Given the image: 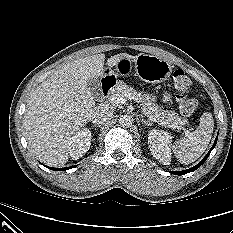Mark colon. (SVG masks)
<instances>
[{"instance_id": "colon-1", "label": "colon", "mask_w": 233, "mask_h": 233, "mask_svg": "<svg viewBox=\"0 0 233 233\" xmlns=\"http://www.w3.org/2000/svg\"><path fill=\"white\" fill-rule=\"evenodd\" d=\"M173 81L178 91L177 101L181 114L184 116L192 115L198 105L197 100L190 95L193 86L192 79L182 69H177L173 74Z\"/></svg>"}]
</instances>
